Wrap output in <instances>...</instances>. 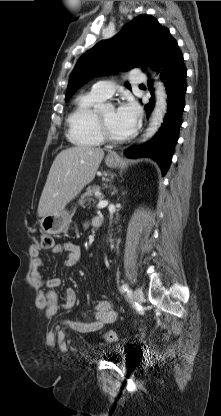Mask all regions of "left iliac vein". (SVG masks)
<instances>
[{
	"mask_svg": "<svg viewBox=\"0 0 221 416\" xmlns=\"http://www.w3.org/2000/svg\"><path fill=\"white\" fill-rule=\"evenodd\" d=\"M134 300L141 304L143 302V291L140 288H136L133 292Z\"/></svg>",
	"mask_w": 221,
	"mask_h": 416,
	"instance_id": "1",
	"label": "left iliac vein"
}]
</instances>
